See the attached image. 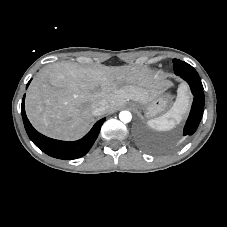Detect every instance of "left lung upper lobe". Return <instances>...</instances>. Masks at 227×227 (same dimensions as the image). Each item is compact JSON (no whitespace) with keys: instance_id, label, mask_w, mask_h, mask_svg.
I'll return each instance as SVG.
<instances>
[{"instance_id":"obj_1","label":"left lung upper lobe","mask_w":227,"mask_h":227,"mask_svg":"<svg viewBox=\"0 0 227 227\" xmlns=\"http://www.w3.org/2000/svg\"><path fill=\"white\" fill-rule=\"evenodd\" d=\"M174 72L176 75L180 74H198L196 70L186 62L178 59L173 60Z\"/></svg>"}]
</instances>
